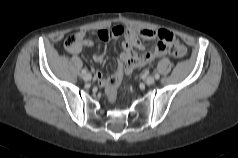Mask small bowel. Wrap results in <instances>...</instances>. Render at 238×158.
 I'll return each mask as SVG.
<instances>
[{
  "label": "small bowel",
  "instance_id": "c3829d8e",
  "mask_svg": "<svg viewBox=\"0 0 238 158\" xmlns=\"http://www.w3.org/2000/svg\"><path fill=\"white\" fill-rule=\"evenodd\" d=\"M110 30L113 32L114 37L123 35L125 40L123 43L124 51L120 55L119 64L115 73L110 77H105L101 71H98L96 74L98 83L100 86L105 88L107 93L110 90V81L112 79H115L118 83H120L121 78L126 74H130L135 68L145 66L154 59L165 56L167 53V45L174 39L173 34L164 29L115 27ZM76 36L79 39V45L75 49L69 50L70 52L77 53L81 50L83 45H93V40L87 39L84 31L77 32ZM155 38L159 41L151 50L143 54L136 53V50H144V45L141 43V39L150 40ZM105 52V49L96 52L93 59L96 62H101L105 56Z\"/></svg>",
  "mask_w": 238,
  "mask_h": 158
}]
</instances>
